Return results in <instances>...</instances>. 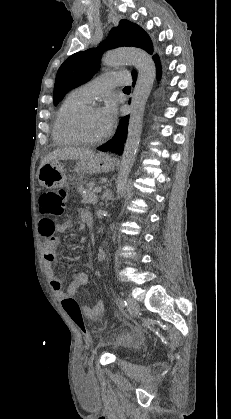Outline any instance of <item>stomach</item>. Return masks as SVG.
Wrapping results in <instances>:
<instances>
[{
  "mask_svg": "<svg viewBox=\"0 0 231 419\" xmlns=\"http://www.w3.org/2000/svg\"><path fill=\"white\" fill-rule=\"evenodd\" d=\"M115 161L109 155L97 153L91 157L79 160L75 169L80 173L96 174L113 170ZM39 184L47 189H54L68 185L64 165L55 160L41 165L37 172Z\"/></svg>",
  "mask_w": 231,
  "mask_h": 419,
  "instance_id": "0dacf381",
  "label": "stomach"
}]
</instances>
